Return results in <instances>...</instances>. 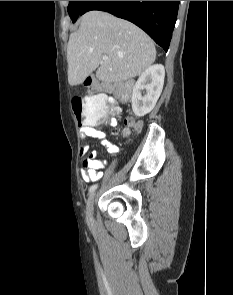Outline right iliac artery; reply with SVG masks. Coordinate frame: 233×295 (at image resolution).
Returning <instances> with one entry per match:
<instances>
[{"label":"right iliac artery","instance_id":"obj_1","mask_svg":"<svg viewBox=\"0 0 233 295\" xmlns=\"http://www.w3.org/2000/svg\"><path fill=\"white\" fill-rule=\"evenodd\" d=\"M96 189H97V184L92 185V186L89 188V193L94 192Z\"/></svg>","mask_w":233,"mask_h":295}]
</instances>
